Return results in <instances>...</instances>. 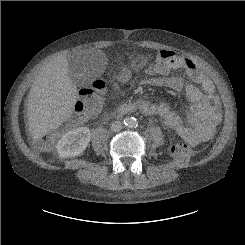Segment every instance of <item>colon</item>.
<instances>
[{
  "label": "colon",
  "instance_id": "5ec220e1",
  "mask_svg": "<svg viewBox=\"0 0 245 245\" xmlns=\"http://www.w3.org/2000/svg\"><path fill=\"white\" fill-rule=\"evenodd\" d=\"M163 65H161V68ZM130 72L124 66H118L115 68L113 73V80L115 82H122L129 78ZM106 89V82L103 79H97L90 82L80 92L81 98L76 102L74 107V114L68 121V127H76L87 122L92 117L96 116L101 110L102 96ZM211 104H215L217 96L211 95L209 98ZM214 121L217 123L219 117L215 118ZM55 138L54 134H47L42 137L43 143L52 142ZM171 154L176 158H188L196 153V149L189 143H177L171 146Z\"/></svg>",
  "mask_w": 245,
  "mask_h": 245
}]
</instances>
